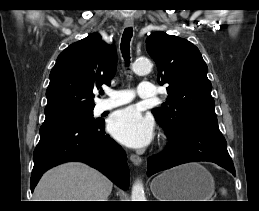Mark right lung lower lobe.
Instances as JSON below:
<instances>
[{"label": "right lung lower lobe", "mask_w": 259, "mask_h": 211, "mask_svg": "<svg viewBox=\"0 0 259 211\" xmlns=\"http://www.w3.org/2000/svg\"><path fill=\"white\" fill-rule=\"evenodd\" d=\"M104 122L80 123L60 120L43 123L34 150L31 174L33 192L42 174L68 161L84 162L98 169L123 190L129 187V169L124 150L104 132Z\"/></svg>", "instance_id": "right-lung-lower-lobe-1"}]
</instances>
